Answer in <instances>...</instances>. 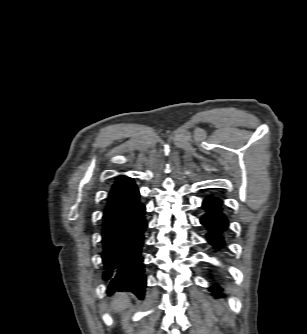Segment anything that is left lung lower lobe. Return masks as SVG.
Returning <instances> with one entry per match:
<instances>
[{
    "label": "left lung lower lobe",
    "mask_w": 307,
    "mask_h": 334,
    "mask_svg": "<svg viewBox=\"0 0 307 334\" xmlns=\"http://www.w3.org/2000/svg\"><path fill=\"white\" fill-rule=\"evenodd\" d=\"M222 201L217 197L208 196L204 202L203 207L206 209V214L201 218V224L206 226L209 233L206 236L207 241L216 250H221L224 247V233L227 231L229 222L222 212ZM216 252V251H215ZM210 291L214 295L222 292V288L214 285Z\"/></svg>",
    "instance_id": "left-lung-lower-lobe-1"
}]
</instances>
